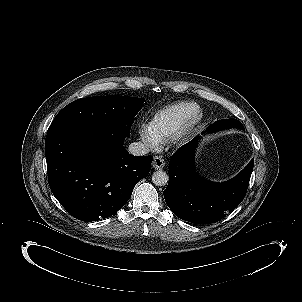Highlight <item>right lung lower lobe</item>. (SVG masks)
<instances>
[{"mask_svg":"<svg viewBox=\"0 0 302 302\" xmlns=\"http://www.w3.org/2000/svg\"><path fill=\"white\" fill-rule=\"evenodd\" d=\"M127 136L99 123H70L48 129V181L60 204L75 218L105 219L122 208L138 181L151 169L152 156H133Z\"/></svg>","mask_w":302,"mask_h":302,"instance_id":"1","label":"right lung lower lobe"}]
</instances>
